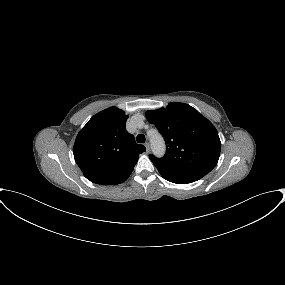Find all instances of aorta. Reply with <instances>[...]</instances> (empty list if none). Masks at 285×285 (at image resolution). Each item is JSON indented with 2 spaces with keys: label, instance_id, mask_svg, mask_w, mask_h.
<instances>
[{
  "label": "aorta",
  "instance_id": "1",
  "mask_svg": "<svg viewBox=\"0 0 285 285\" xmlns=\"http://www.w3.org/2000/svg\"><path fill=\"white\" fill-rule=\"evenodd\" d=\"M150 141L153 153L158 157L162 156L165 152V143L162 136L155 131L151 136Z\"/></svg>",
  "mask_w": 285,
  "mask_h": 285
}]
</instances>
